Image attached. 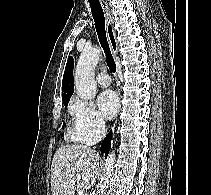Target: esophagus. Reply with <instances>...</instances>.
Segmentation results:
<instances>
[{
	"label": "esophagus",
	"mask_w": 211,
	"mask_h": 195,
	"mask_svg": "<svg viewBox=\"0 0 211 195\" xmlns=\"http://www.w3.org/2000/svg\"><path fill=\"white\" fill-rule=\"evenodd\" d=\"M103 9L106 16V31H107L108 41L110 44L112 54L114 57H116L118 54V42L116 39L115 30H114V18L111 14V11L107 3L103 4Z\"/></svg>",
	"instance_id": "1"
}]
</instances>
